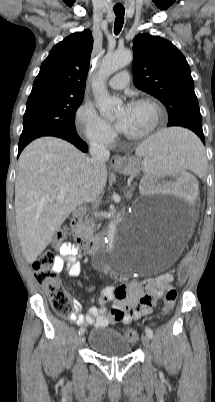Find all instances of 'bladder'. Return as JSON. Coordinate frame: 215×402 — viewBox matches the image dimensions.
Instances as JSON below:
<instances>
[{
    "label": "bladder",
    "instance_id": "31cf9c89",
    "mask_svg": "<svg viewBox=\"0 0 215 402\" xmlns=\"http://www.w3.org/2000/svg\"><path fill=\"white\" fill-rule=\"evenodd\" d=\"M88 345L92 352L104 358H123L131 353V343L117 330L107 327L93 329Z\"/></svg>",
    "mask_w": 215,
    "mask_h": 402
}]
</instances>
